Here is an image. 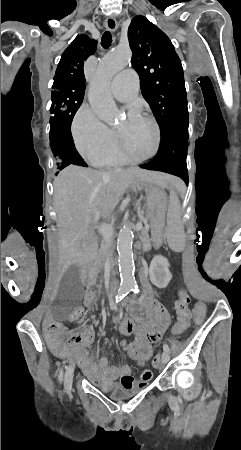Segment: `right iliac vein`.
Listing matches in <instances>:
<instances>
[{"instance_id":"1","label":"right iliac vein","mask_w":241,"mask_h":450,"mask_svg":"<svg viewBox=\"0 0 241 450\" xmlns=\"http://www.w3.org/2000/svg\"><path fill=\"white\" fill-rule=\"evenodd\" d=\"M72 377H73V369L72 367H69L65 374V389L67 392L71 390L72 387Z\"/></svg>"}]
</instances>
